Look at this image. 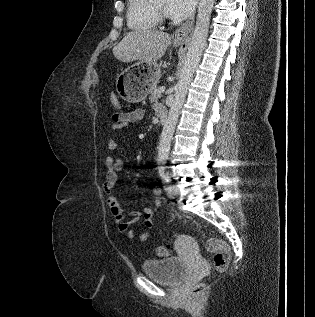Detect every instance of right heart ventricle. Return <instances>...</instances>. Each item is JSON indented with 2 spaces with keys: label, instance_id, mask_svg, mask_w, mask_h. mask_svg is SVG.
Wrapping results in <instances>:
<instances>
[{
  "label": "right heart ventricle",
  "instance_id": "1",
  "mask_svg": "<svg viewBox=\"0 0 315 317\" xmlns=\"http://www.w3.org/2000/svg\"><path fill=\"white\" fill-rule=\"evenodd\" d=\"M127 24L136 31L154 29L159 19L150 0H127Z\"/></svg>",
  "mask_w": 315,
  "mask_h": 317
}]
</instances>
